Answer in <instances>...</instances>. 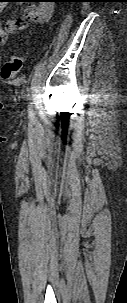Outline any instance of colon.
I'll return each mask as SVG.
<instances>
[{
    "mask_svg": "<svg viewBox=\"0 0 127 303\" xmlns=\"http://www.w3.org/2000/svg\"><path fill=\"white\" fill-rule=\"evenodd\" d=\"M22 63L23 61L20 56H11L2 68V77L6 80L14 79L19 74Z\"/></svg>",
    "mask_w": 127,
    "mask_h": 303,
    "instance_id": "1",
    "label": "colon"
}]
</instances>
